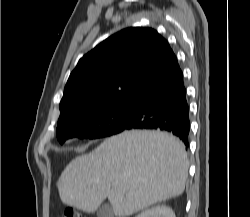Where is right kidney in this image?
I'll use <instances>...</instances> for the list:
<instances>
[{
	"label": "right kidney",
	"mask_w": 250,
	"mask_h": 217,
	"mask_svg": "<svg viewBox=\"0 0 250 217\" xmlns=\"http://www.w3.org/2000/svg\"><path fill=\"white\" fill-rule=\"evenodd\" d=\"M136 217H176L173 210L166 205H157L144 210Z\"/></svg>",
	"instance_id": "ca27d5eb"
}]
</instances>
